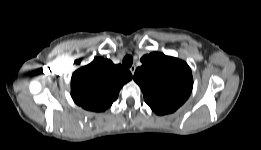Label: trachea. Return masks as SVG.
Masks as SVG:
<instances>
[{
    "mask_svg": "<svg viewBox=\"0 0 261 150\" xmlns=\"http://www.w3.org/2000/svg\"><path fill=\"white\" fill-rule=\"evenodd\" d=\"M123 65L125 67H131L132 63H133V58L130 55H127L124 57L123 61H122Z\"/></svg>",
    "mask_w": 261,
    "mask_h": 150,
    "instance_id": "obj_1",
    "label": "trachea"
}]
</instances>
